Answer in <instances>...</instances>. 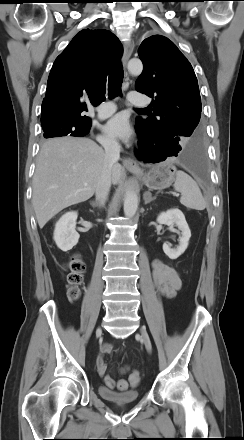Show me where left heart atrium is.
I'll return each mask as SVG.
<instances>
[{
    "mask_svg": "<svg viewBox=\"0 0 244 440\" xmlns=\"http://www.w3.org/2000/svg\"><path fill=\"white\" fill-rule=\"evenodd\" d=\"M105 133L121 141H128L132 137V129L126 114L118 113L111 117L103 126Z\"/></svg>",
    "mask_w": 244,
    "mask_h": 440,
    "instance_id": "1",
    "label": "left heart atrium"
}]
</instances>
